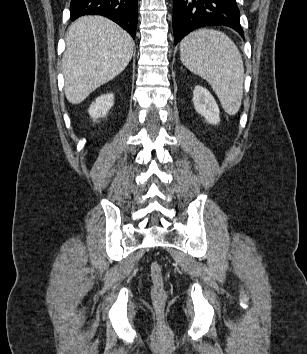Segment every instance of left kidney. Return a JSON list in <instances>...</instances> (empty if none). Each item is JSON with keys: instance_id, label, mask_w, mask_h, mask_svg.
Masks as SVG:
<instances>
[{"instance_id": "1", "label": "left kidney", "mask_w": 307, "mask_h": 354, "mask_svg": "<svg viewBox=\"0 0 307 354\" xmlns=\"http://www.w3.org/2000/svg\"><path fill=\"white\" fill-rule=\"evenodd\" d=\"M194 108L205 120L213 125L220 122V111L211 93L201 87L196 86L193 91Z\"/></svg>"}]
</instances>
